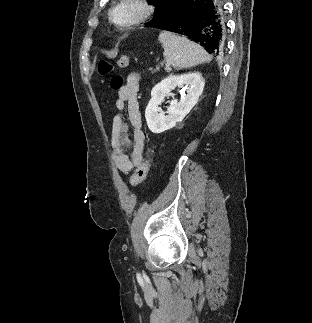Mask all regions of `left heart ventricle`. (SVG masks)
<instances>
[{"mask_svg": "<svg viewBox=\"0 0 312 323\" xmlns=\"http://www.w3.org/2000/svg\"><path fill=\"white\" fill-rule=\"evenodd\" d=\"M117 18H137L138 7H115Z\"/></svg>", "mask_w": 312, "mask_h": 323, "instance_id": "obj_1", "label": "left heart ventricle"}]
</instances>
